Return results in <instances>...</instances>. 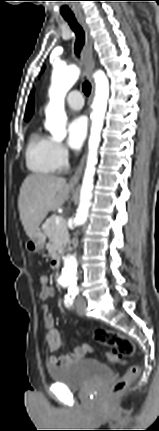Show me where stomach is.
I'll return each instance as SVG.
<instances>
[{
    "mask_svg": "<svg viewBox=\"0 0 159 431\" xmlns=\"http://www.w3.org/2000/svg\"><path fill=\"white\" fill-rule=\"evenodd\" d=\"M45 245V235L41 230H37L36 233L27 241L26 249L29 252H38L42 250Z\"/></svg>",
    "mask_w": 159,
    "mask_h": 431,
    "instance_id": "1",
    "label": "stomach"
}]
</instances>
